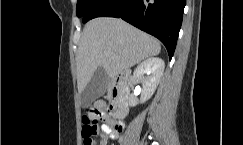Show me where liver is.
<instances>
[{"label":"liver","mask_w":243,"mask_h":145,"mask_svg":"<svg viewBox=\"0 0 243 145\" xmlns=\"http://www.w3.org/2000/svg\"><path fill=\"white\" fill-rule=\"evenodd\" d=\"M160 51L157 39L121 19H92L83 29L76 54L78 92L84 90L98 67L114 77Z\"/></svg>","instance_id":"6515ba94"}]
</instances>
